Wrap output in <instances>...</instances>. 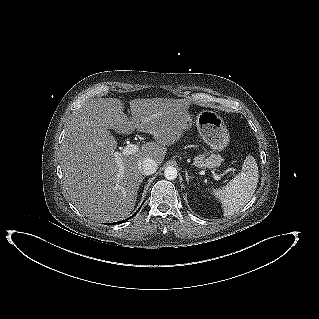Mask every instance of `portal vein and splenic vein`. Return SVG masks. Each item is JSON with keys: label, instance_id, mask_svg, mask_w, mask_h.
Returning <instances> with one entry per match:
<instances>
[{"label": "portal vein and splenic vein", "instance_id": "portal-vein-and-splenic-vein-1", "mask_svg": "<svg viewBox=\"0 0 319 319\" xmlns=\"http://www.w3.org/2000/svg\"><path fill=\"white\" fill-rule=\"evenodd\" d=\"M139 151V145L138 144H132L129 143L127 144L126 147H124L123 149H121V152H117V165L119 167V172H118V177H122L124 174V166H123V162L122 159L120 158L121 156H128V155H132L135 154ZM213 178L216 180H220V176L217 175L216 173H213Z\"/></svg>", "mask_w": 319, "mask_h": 319}]
</instances>
